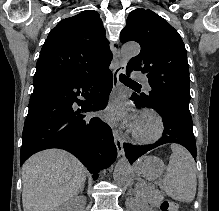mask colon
Segmentation results:
<instances>
[{
    "label": "colon",
    "mask_w": 219,
    "mask_h": 211,
    "mask_svg": "<svg viewBox=\"0 0 219 211\" xmlns=\"http://www.w3.org/2000/svg\"><path fill=\"white\" fill-rule=\"evenodd\" d=\"M160 210L161 211H178V206L176 203L172 201L163 200L160 204Z\"/></svg>",
    "instance_id": "1"
}]
</instances>
